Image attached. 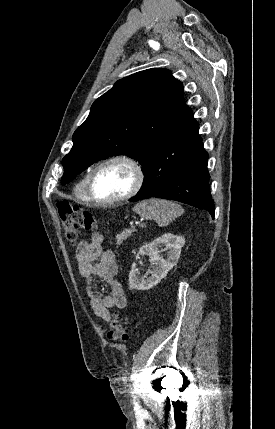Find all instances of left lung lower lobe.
Listing matches in <instances>:
<instances>
[{
	"mask_svg": "<svg viewBox=\"0 0 275 429\" xmlns=\"http://www.w3.org/2000/svg\"><path fill=\"white\" fill-rule=\"evenodd\" d=\"M191 109L144 171L141 189L130 201L157 197L207 210L214 218L209 189L208 154Z\"/></svg>",
	"mask_w": 275,
	"mask_h": 429,
	"instance_id": "left-lung-lower-lobe-1",
	"label": "left lung lower lobe"
}]
</instances>
